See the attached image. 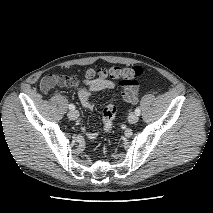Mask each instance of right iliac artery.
Instances as JSON below:
<instances>
[{"label": "right iliac artery", "mask_w": 213, "mask_h": 213, "mask_svg": "<svg viewBox=\"0 0 213 213\" xmlns=\"http://www.w3.org/2000/svg\"><path fill=\"white\" fill-rule=\"evenodd\" d=\"M69 109H70L71 111H73V110H75V106H74L73 104H70V105H69Z\"/></svg>", "instance_id": "1"}]
</instances>
